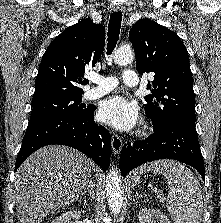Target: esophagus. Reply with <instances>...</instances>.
Here are the masks:
<instances>
[{
	"instance_id": "obj_1",
	"label": "esophagus",
	"mask_w": 221,
	"mask_h": 223,
	"mask_svg": "<svg viewBox=\"0 0 221 223\" xmlns=\"http://www.w3.org/2000/svg\"><path fill=\"white\" fill-rule=\"evenodd\" d=\"M113 10L119 11V12H124L125 7L123 4H116L113 6ZM122 146H123L122 139L118 135L113 134L111 137V147H112V151H113L114 155H117L120 153Z\"/></svg>"
}]
</instances>
